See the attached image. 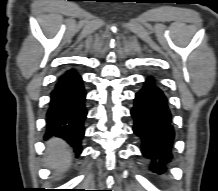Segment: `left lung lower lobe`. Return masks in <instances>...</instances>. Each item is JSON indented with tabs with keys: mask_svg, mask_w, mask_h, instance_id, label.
I'll use <instances>...</instances> for the list:
<instances>
[{
	"mask_svg": "<svg viewBox=\"0 0 218 191\" xmlns=\"http://www.w3.org/2000/svg\"><path fill=\"white\" fill-rule=\"evenodd\" d=\"M131 116L133 131L142 142V153L152 160L150 169L163 172L165 163L172 158L174 130L166 96L153 78H147L144 87L136 93Z\"/></svg>",
	"mask_w": 218,
	"mask_h": 191,
	"instance_id": "left-lung-lower-lobe-1",
	"label": "left lung lower lobe"
}]
</instances>
